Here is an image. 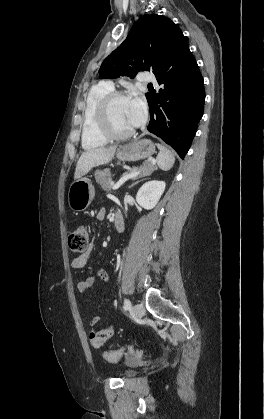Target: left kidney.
<instances>
[{
    "instance_id": "obj_1",
    "label": "left kidney",
    "mask_w": 264,
    "mask_h": 419,
    "mask_svg": "<svg viewBox=\"0 0 264 419\" xmlns=\"http://www.w3.org/2000/svg\"><path fill=\"white\" fill-rule=\"evenodd\" d=\"M165 187L164 181L152 180L144 183L137 192V203L147 210L154 208L164 193Z\"/></svg>"
}]
</instances>
